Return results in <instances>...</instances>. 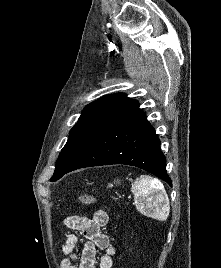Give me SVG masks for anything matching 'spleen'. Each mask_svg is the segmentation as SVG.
<instances>
[{"label":"spleen","instance_id":"3e777b00","mask_svg":"<svg viewBox=\"0 0 221 268\" xmlns=\"http://www.w3.org/2000/svg\"><path fill=\"white\" fill-rule=\"evenodd\" d=\"M136 209L159 221H165L169 215V199L160 180L149 175H141L132 184Z\"/></svg>","mask_w":221,"mask_h":268}]
</instances>
